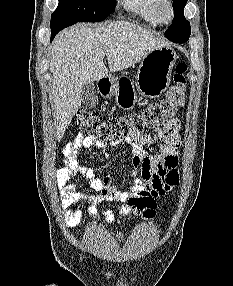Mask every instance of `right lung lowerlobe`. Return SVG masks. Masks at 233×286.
I'll return each mask as SVG.
<instances>
[{
    "label": "right lung lower lobe",
    "mask_w": 233,
    "mask_h": 286,
    "mask_svg": "<svg viewBox=\"0 0 233 286\" xmlns=\"http://www.w3.org/2000/svg\"><path fill=\"white\" fill-rule=\"evenodd\" d=\"M68 26H71L70 24H61V25H58V26H54V27H51V41L53 40V38L55 37V35L62 29L68 27Z\"/></svg>",
    "instance_id": "right-lung-lower-lobe-1"
}]
</instances>
